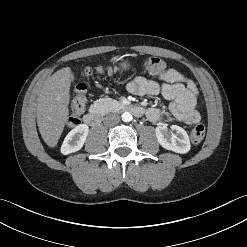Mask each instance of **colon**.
<instances>
[{
	"instance_id": "obj_1",
	"label": "colon",
	"mask_w": 247,
	"mask_h": 247,
	"mask_svg": "<svg viewBox=\"0 0 247 247\" xmlns=\"http://www.w3.org/2000/svg\"><path fill=\"white\" fill-rule=\"evenodd\" d=\"M143 66L147 72L150 74H162L168 71V67L165 61L158 57H148L144 60ZM96 71L102 74H113L115 68L108 67H97L95 70L92 68H87L85 70V75H92ZM86 92L87 87L84 83H78L74 88V97L72 100V113L69 118V125L74 126L79 123V116L83 112L86 104ZM205 136V127L202 124L196 125L191 131V140L193 143H200Z\"/></svg>"
}]
</instances>
